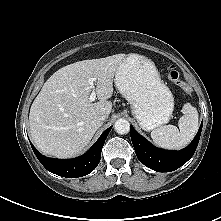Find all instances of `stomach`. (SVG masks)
I'll list each match as a JSON object with an SVG mask.
<instances>
[{
    "mask_svg": "<svg viewBox=\"0 0 221 221\" xmlns=\"http://www.w3.org/2000/svg\"><path fill=\"white\" fill-rule=\"evenodd\" d=\"M114 81L142 129L150 131L169 122L174 98L151 59L138 54L126 55Z\"/></svg>",
    "mask_w": 221,
    "mask_h": 221,
    "instance_id": "0dacf381",
    "label": "stomach"
}]
</instances>
